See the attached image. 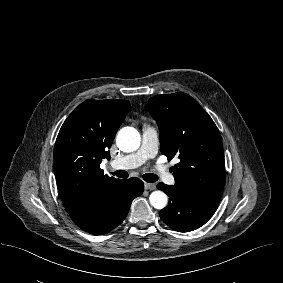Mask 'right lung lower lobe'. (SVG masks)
I'll return each instance as SVG.
<instances>
[{
  "mask_svg": "<svg viewBox=\"0 0 283 283\" xmlns=\"http://www.w3.org/2000/svg\"><path fill=\"white\" fill-rule=\"evenodd\" d=\"M143 190V182L138 178L121 180L94 208L75 223L88 233H108L122 223L132 200L141 195Z\"/></svg>",
  "mask_w": 283,
  "mask_h": 283,
  "instance_id": "right-lung-lower-lobe-1",
  "label": "right lung lower lobe"
}]
</instances>
